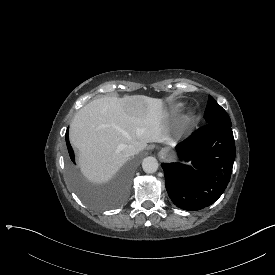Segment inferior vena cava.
I'll use <instances>...</instances> for the list:
<instances>
[{"label":"inferior vena cava","mask_w":275,"mask_h":275,"mask_svg":"<svg viewBox=\"0 0 275 275\" xmlns=\"http://www.w3.org/2000/svg\"><path fill=\"white\" fill-rule=\"evenodd\" d=\"M123 152L127 157L133 156L138 153V151L133 145H125Z\"/></svg>","instance_id":"1"}]
</instances>
